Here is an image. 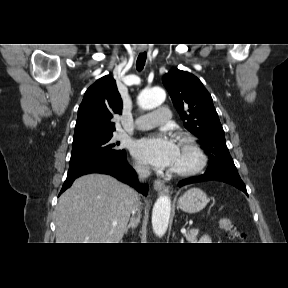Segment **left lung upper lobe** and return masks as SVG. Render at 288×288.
<instances>
[{
  "label": "left lung upper lobe",
  "instance_id": "1",
  "mask_svg": "<svg viewBox=\"0 0 288 288\" xmlns=\"http://www.w3.org/2000/svg\"><path fill=\"white\" fill-rule=\"evenodd\" d=\"M184 126L200 140L209 157L205 173L238 176V171L226 146L224 130L213 100L202 82L193 74L177 68L162 78Z\"/></svg>",
  "mask_w": 288,
  "mask_h": 288
}]
</instances>
